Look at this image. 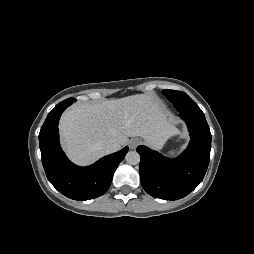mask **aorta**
Segmentation results:
<instances>
[{
    "label": "aorta",
    "mask_w": 254,
    "mask_h": 254,
    "mask_svg": "<svg viewBox=\"0 0 254 254\" xmlns=\"http://www.w3.org/2000/svg\"><path fill=\"white\" fill-rule=\"evenodd\" d=\"M125 160L130 165H136L140 162V155L137 151H129L125 156Z\"/></svg>",
    "instance_id": "aorta-1"
}]
</instances>
